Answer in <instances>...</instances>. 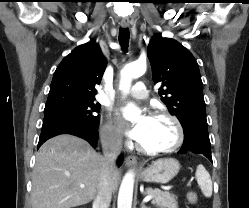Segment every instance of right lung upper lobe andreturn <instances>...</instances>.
<instances>
[{
  "instance_id": "cb5924a9",
  "label": "right lung upper lobe",
  "mask_w": 249,
  "mask_h": 208,
  "mask_svg": "<svg viewBox=\"0 0 249 208\" xmlns=\"http://www.w3.org/2000/svg\"><path fill=\"white\" fill-rule=\"evenodd\" d=\"M107 61L99 45L90 40L78 46L57 67L45 107L95 100Z\"/></svg>"
}]
</instances>
